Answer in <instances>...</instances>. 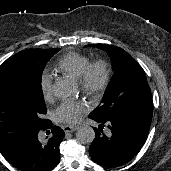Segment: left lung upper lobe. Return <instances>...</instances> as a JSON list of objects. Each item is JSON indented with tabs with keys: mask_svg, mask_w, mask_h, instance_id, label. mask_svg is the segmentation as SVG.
<instances>
[{
	"mask_svg": "<svg viewBox=\"0 0 171 171\" xmlns=\"http://www.w3.org/2000/svg\"><path fill=\"white\" fill-rule=\"evenodd\" d=\"M89 46L106 51L115 71L101 104L89 117L99 120L122 117L151 122L152 95L146 74L134 58L123 49L108 44Z\"/></svg>",
	"mask_w": 171,
	"mask_h": 171,
	"instance_id": "left-lung-upper-lobe-1",
	"label": "left lung upper lobe"
}]
</instances>
